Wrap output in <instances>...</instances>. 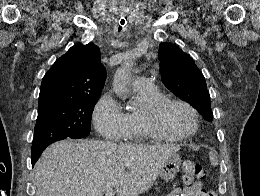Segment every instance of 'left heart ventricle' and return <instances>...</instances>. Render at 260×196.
Instances as JSON below:
<instances>
[{
	"label": "left heart ventricle",
	"mask_w": 260,
	"mask_h": 196,
	"mask_svg": "<svg viewBox=\"0 0 260 196\" xmlns=\"http://www.w3.org/2000/svg\"><path fill=\"white\" fill-rule=\"evenodd\" d=\"M158 125L169 135L182 136L194 128L195 121L187 108L173 104L160 115Z\"/></svg>",
	"instance_id": "obj_1"
}]
</instances>
